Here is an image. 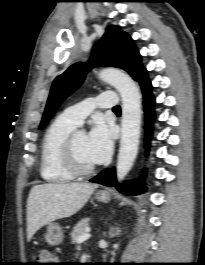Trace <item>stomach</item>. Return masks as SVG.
Segmentation results:
<instances>
[{
    "instance_id": "0dacf381",
    "label": "stomach",
    "mask_w": 205,
    "mask_h": 265,
    "mask_svg": "<svg viewBox=\"0 0 205 265\" xmlns=\"http://www.w3.org/2000/svg\"><path fill=\"white\" fill-rule=\"evenodd\" d=\"M95 198L99 202L107 203L110 200V195L106 191H100L95 194ZM62 228L57 223H50L47 226L45 240L50 245H58L63 241Z\"/></svg>"
}]
</instances>
